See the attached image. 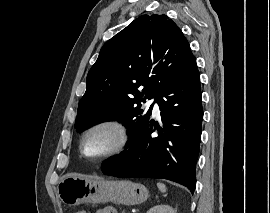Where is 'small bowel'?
Segmentation results:
<instances>
[{
  "label": "small bowel",
  "instance_id": "c3829d8e",
  "mask_svg": "<svg viewBox=\"0 0 270 213\" xmlns=\"http://www.w3.org/2000/svg\"><path fill=\"white\" fill-rule=\"evenodd\" d=\"M96 213H117L116 209L113 207H104L96 211Z\"/></svg>",
  "mask_w": 270,
  "mask_h": 213
}]
</instances>
